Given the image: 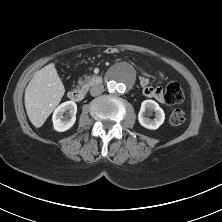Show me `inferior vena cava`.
<instances>
[{
	"label": "inferior vena cava",
	"instance_id": "obj_1",
	"mask_svg": "<svg viewBox=\"0 0 222 222\" xmlns=\"http://www.w3.org/2000/svg\"><path fill=\"white\" fill-rule=\"evenodd\" d=\"M104 92V86L102 84H97L91 87L90 94L92 96L100 95Z\"/></svg>",
	"mask_w": 222,
	"mask_h": 222
}]
</instances>
